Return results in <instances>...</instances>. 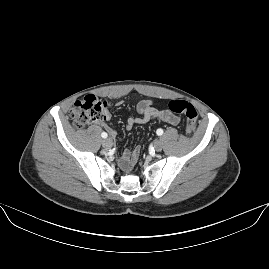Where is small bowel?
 Masks as SVG:
<instances>
[{
    "instance_id": "obj_1",
    "label": "small bowel",
    "mask_w": 269,
    "mask_h": 269,
    "mask_svg": "<svg viewBox=\"0 0 269 269\" xmlns=\"http://www.w3.org/2000/svg\"><path fill=\"white\" fill-rule=\"evenodd\" d=\"M137 111L139 112V117H131L127 121V127L131 128L135 124H143L150 120H158L162 122H167L173 126L180 124L181 120L178 116L172 114L167 110H158L154 107L151 100H142L137 105ZM111 119V113L107 110L104 111L101 120L98 121V125L103 128L111 137L116 136V131L113 129L108 122ZM142 151L141 145H136L135 150L130 154L129 151L125 150L121 153L119 162L120 164L125 163L126 169L134 168L137 165V160Z\"/></svg>"
}]
</instances>
